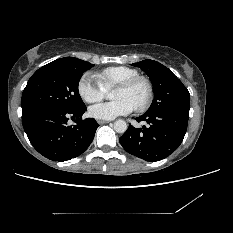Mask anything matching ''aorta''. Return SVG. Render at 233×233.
<instances>
[{"label": "aorta", "mask_w": 233, "mask_h": 233, "mask_svg": "<svg viewBox=\"0 0 233 233\" xmlns=\"http://www.w3.org/2000/svg\"><path fill=\"white\" fill-rule=\"evenodd\" d=\"M107 98H112V94H109ZM114 130L117 133H124L127 130V123L124 120H117L114 123Z\"/></svg>", "instance_id": "aorta-1"}]
</instances>
